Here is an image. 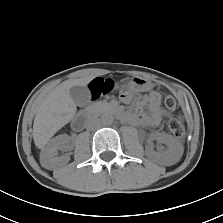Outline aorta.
Returning <instances> with one entry per match:
<instances>
[{
    "instance_id": "aorta-1",
    "label": "aorta",
    "mask_w": 223,
    "mask_h": 223,
    "mask_svg": "<svg viewBox=\"0 0 223 223\" xmlns=\"http://www.w3.org/2000/svg\"><path fill=\"white\" fill-rule=\"evenodd\" d=\"M101 121L104 125H111L114 122V115L111 113H105L101 116Z\"/></svg>"
}]
</instances>
